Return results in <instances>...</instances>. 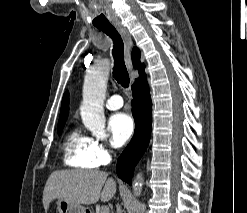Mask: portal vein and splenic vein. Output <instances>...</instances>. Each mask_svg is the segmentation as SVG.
Segmentation results:
<instances>
[{
	"instance_id": "obj_1",
	"label": "portal vein and splenic vein",
	"mask_w": 247,
	"mask_h": 213,
	"mask_svg": "<svg viewBox=\"0 0 247 213\" xmlns=\"http://www.w3.org/2000/svg\"><path fill=\"white\" fill-rule=\"evenodd\" d=\"M100 213H109V207L108 206H101Z\"/></svg>"
}]
</instances>
